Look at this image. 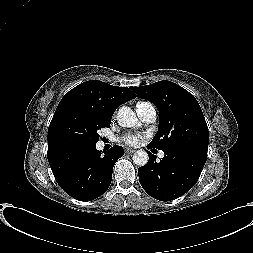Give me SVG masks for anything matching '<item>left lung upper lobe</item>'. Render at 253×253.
I'll list each match as a JSON object with an SVG mask.
<instances>
[{"label": "left lung upper lobe", "instance_id": "obj_1", "mask_svg": "<svg viewBox=\"0 0 253 253\" xmlns=\"http://www.w3.org/2000/svg\"><path fill=\"white\" fill-rule=\"evenodd\" d=\"M141 98L156 105L159 129L149 144L158 150L183 149L207 156L209 132L195 97L170 81L131 87Z\"/></svg>", "mask_w": 253, "mask_h": 253}]
</instances>
